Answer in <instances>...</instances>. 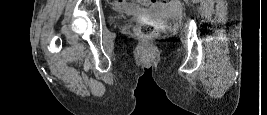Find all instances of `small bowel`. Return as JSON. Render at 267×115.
<instances>
[{
	"label": "small bowel",
	"instance_id": "small-bowel-1",
	"mask_svg": "<svg viewBox=\"0 0 267 115\" xmlns=\"http://www.w3.org/2000/svg\"><path fill=\"white\" fill-rule=\"evenodd\" d=\"M113 8L123 14L127 15H138L143 16L147 15L151 12H163L166 10H171L173 12L178 11L179 5L176 2L170 4L167 7L162 3H153L151 4L149 1H140V2H128L122 0H116L112 2Z\"/></svg>",
	"mask_w": 267,
	"mask_h": 115
}]
</instances>
